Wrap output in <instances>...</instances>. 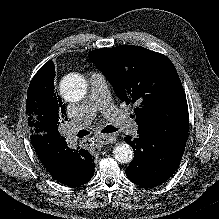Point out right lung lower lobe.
Returning a JSON list of instances; mask_svg holds the SVG:
<instances>
[{
	"mask_svg": "<svg viewBox=\"0 0 219 219\" xmlns=\"http://www.w3.org/2000/svg\"><path fill=\"white\" fill-rule=\"evenodd\" d=\"M31 144L44 167L58 182L81 186L93 177L94 156L85 149H70L64 137L39 135Z\"/></svg>",
	"mask_w": 219,
	"mask_h": 219,
	"instance_id": "obj_1",
	"label": "right lung lower lobe"
}]
</instances>
